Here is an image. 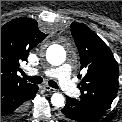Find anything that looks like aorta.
Wrapping results in <instances>:
<instances>
[{
    "mask_svg": "<svg viewBox=\"0 0 122 122\" xmlns=\"http://www.w3.org/2000/svg\"><path fill=\"white\" fill-rule=\"evenodd\" d=\"M46 59L51 65L59 66L66 59L65 50L59 45H53L47 50ZM51 103L57 108L62 107L65 103V98L60 93H54L51 97Z\"/></svg>",
    "mask_w": 122,
    "mask_h": 122,
    "instance_id": "obj_1",
    "label": "aorta"
}]
</instances>
